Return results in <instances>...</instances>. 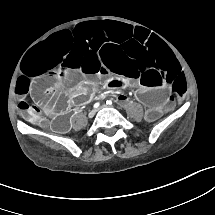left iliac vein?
<instances>
[{
  "mask_svg": "<svg viewBox=\"0 0 215 215\" xmlns=\"http://www.w3.org/2000/svg\"><path fill=\"white\" fill-rule=\"evenodd\" d=\"M101 108H106V106H102V107H100L99 109H101ZM99 109H97V111H98Z\"/></svg>",
  "mask_w": 215,
  "mask_h": 215,
  "instance_id": "4c4485c4",
  "label": "left iliac vein"
}]
</instances>
